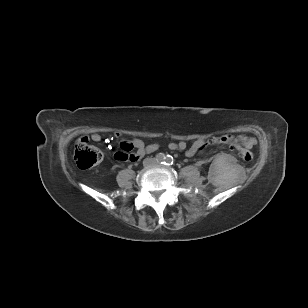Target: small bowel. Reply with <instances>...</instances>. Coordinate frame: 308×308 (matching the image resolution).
I'll return each mask as SVG.
<instances>
[{
    "label": "small bowel",
    "mask_w": 308,
    "mask_h": 308,
    "mask_svg": "<svg viewBox=\"0 0 308 308\" xmlns=\"http://www.w3.org/2000/svg\"><path fill=\"white\" fill-rule=\"evenodd\" d=\"M116 135L119 136L120 134L117 133ZM84 137L87 138L89 141L91 139L94 142H99L101 140V136L98 133L92 134L90 138L87 136ZM249 139L252 140L254 143H256L255 139L253 138ZM205 142L206 141L204 139H195L191 142L190 145H188L187 142L179 140L176 142H171L169 144V148L174 151H184L186 156L191 157L194 156L196 153H198L204 147ZM122 143L130 145L132 149L133 148L136 149V152L134 153L133 156V160H131L132 162L138 161L144 155L156 151L159 147L158 144L156 143L145 146L144 142L138 138H135L132 141H125Z\"/></svg>",
    "instance_id": "obj_1"
}]
</instances>
